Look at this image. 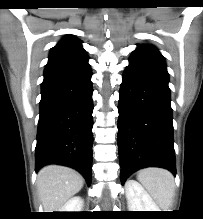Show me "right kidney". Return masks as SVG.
<instances>
[{
	"label": "right kidney",
	"mask_w": 203,
	"mask_h": 219,
	"mask_svg": "<svg viewBox=\"0 0 203 219\" xmlns=\"http://www.w3.org/2000/svg\"><path fill=\"white\" fill-rule=\"evenodd\" d=\"M84 201L81 197L76 196L68 200L64 206L59 210L60 212H81Z\"/></svg>",
	"instance_id": "right-kidney-1"
}]
</instances>
